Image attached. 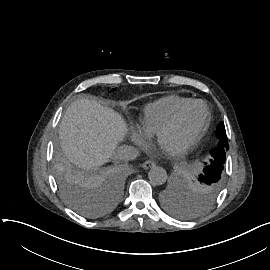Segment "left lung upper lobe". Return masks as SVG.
<instances>
[{"label":"left lung upper lobe","mask_w":270,"mask_h":270,"mask_svg":"<svg viewBox=\"0 0 270 270\" xmlns=\"http://www.w3.org/2000/svg\"><path fill=\"white\" fill-rule=\"evenodd\" d=\"M218 147L211 151L209 165L204 168L203 173L194 181L191 189L204 202H209L217 194L221 187V175L225 163V152L229 149L224 124L221 123L217 129ZM204 164H208L204 162ZM164 204L173 213L187 216V212L182 205V200L174 196H166Z\"/></svg>","instance_id":"1"}]
</instances>
